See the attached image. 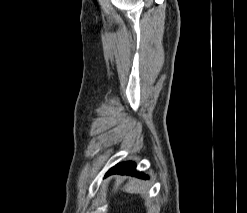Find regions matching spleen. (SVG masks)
Listing matches in <instances>:
<instances>
[{"instance_id": "spleen-1", "label": "spleen", "mask_w": 247, "mask_h": 213, "mask_svg": "<svg viewBox=\"0 0 247 213\" xmlns=\"http://www.w3.org/2000/svg\"><path fill=\"white\" fill-rule=\"evenodd\" d=\"M128 193H143L146 191L145 184L140 180H134L125 186Z\"/></svg>"}]
</instances>
